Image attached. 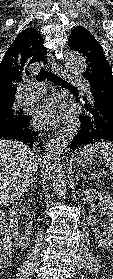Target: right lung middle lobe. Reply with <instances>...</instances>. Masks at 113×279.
Here are the masks:
<instances>
[{"instance_id": "right-lung-middle-lobe-1", "label": "right lung middle lobe", "mask_w": 113, "mask_h": 279, "mask_svg": "<svg viewBox=\"0 0 113 279\" xmlns=\"http://www.w3.org/2000/svg\"><path fill=\"white\" fill-rule=\"evenodd\" d=\"M26 115H24L22 109H17L16 106L10 104L6 107L0 108V127L18 124L24 120Z\"/></svg>"}]
</instances>
